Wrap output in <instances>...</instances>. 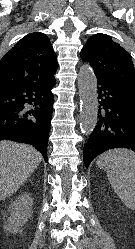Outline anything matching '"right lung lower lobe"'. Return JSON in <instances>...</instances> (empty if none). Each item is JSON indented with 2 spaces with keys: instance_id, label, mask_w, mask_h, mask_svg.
<instances>
[{
  "instance_id": "1",
  "label": "right lung lower lobe",
  "mask_w": 135,
  "mask_h": 249,
  "mask_svg": "<svg viewBox=\"0 0 135 249\" xmlns=\"http://www.w3.org/2000/svg\"><path fill=\"white\" fill-rule=\"evenodd\" d=\"M54 86L55 78L0 88V140L31 144L46 162Z\"/></svg>"
}]
</instances>
